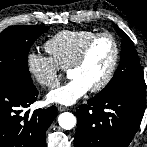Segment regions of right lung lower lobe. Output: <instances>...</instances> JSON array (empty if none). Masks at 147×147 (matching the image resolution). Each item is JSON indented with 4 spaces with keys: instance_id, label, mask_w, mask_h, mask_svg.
<instances>
[{
    "instance_id": "right-lung-lower-lobe-1",
    "label": "right lung lower lobe",
    "mask_w": 147,
    "mask_h": 147,
    "mask_svg": "<svg viewBox=\"0 0 147 147\" xmlns=\"http://www.w3.org/2000/svg\"><path fill=\"white\" fill-rule=\"evenodd\" d=\"M37 95L34 85L24 88L0 83V147L45 146V132L57 116L56 107L22 113Z\"/></svg>"
}]
</instances>
